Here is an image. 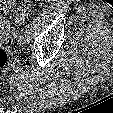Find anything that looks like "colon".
<instances>
[{"instance_id": "obj_1", "label": "colon", "mask_w": 113, "mask_h": 113, "mask_svg": "<svg viewBox=\"0 0 113 113\" xmlns=\"http://www.w3.org/2000/svg\"><path fill=\"white\" fill-rule=\"evenodd\" d=\"M17 1L18 0H0V9L4 11H11L12 16L16 21H22L30 11V1L25 0L18 4ZM14 37L15 33H11L6 40V46L0 47V73L8 66L11 60L9 48L14 43Z\"/></svg>"}]
</instances>
